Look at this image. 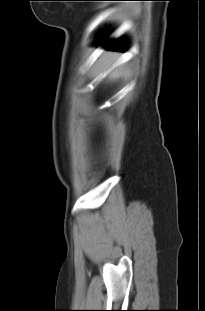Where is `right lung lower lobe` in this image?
Returning <instances> with one entry per match:
<instances>
[{
    "label": "right lung lower lobe",
    "mask_w": 205,
    "mask_h": 311,
    "mask_svg": "<svg viewBox=\"0 0 205 311\" xmlns=\"http://www.w3.org/2000/svg\"><path fill=\"white\" fill-rule=\"evenodd\" d=\"M101 42H99L100 44ZM106 49L108 50H116V51H125L126 46L120 41V40H115L112 42H107L105 43Z\"/></svg>",
    "instance_id": "right-lung-lower-lobe-1"
}]
</instances>
